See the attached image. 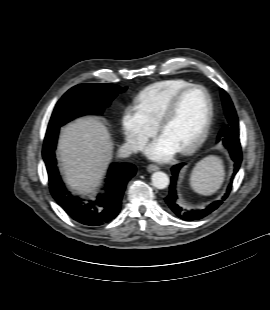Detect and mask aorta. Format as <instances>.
Returning <instances> with one entry per match:
<instances>
[{
	"label": "aorta",
	"mask_w": 270,
	"mask_h": 310,
	"mask_svg": "<svg viewBox=\"0 0 270 310\" xmlns=\"http://www.w3.org/2000/svg\"><path fill=\"white\" fill-rule=\"evenodd\" d=\"M152 184L157 189H165L169 185V177L166 173L157 171L151 176Z\"/></svg>",
	"instance_id": "762f6f07"
}]
</instances>
